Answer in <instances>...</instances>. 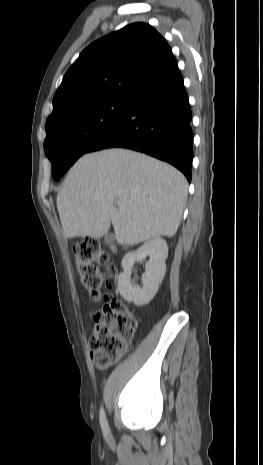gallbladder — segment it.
<instances>
[{
  "label": "gallbladder",
  "instance_id": "bac80fb5",
  "mask_svg": "<svg viewBox=\"0 0 263 465\" xmlns=\"http://www.w3.org/2000/svg\"><path fill=\"white\" fill-rule=\"evenodd\" d=\"M105 242L108 244H112L114 242V235L112 233H107L104 237Z\"/></svg>",
  "mask_w": 263,
  "mask_h": 465
}]
</instances>
